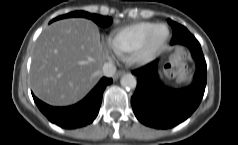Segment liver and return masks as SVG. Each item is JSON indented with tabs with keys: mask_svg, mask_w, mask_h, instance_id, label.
I'll list each match as a JSON object with an SVG mask.
<instances>
[{
	"mask_svg": "<svg viewBox=\"0 0 238 145\" xmlns=\"http://www.w3.org/2000/svg\"><path fill=\"white\" fill-rule=\"evenodd\" d=\"M109 59L97 26L84 18L57 21L39 36L30 70L31 89L42 101L67 106L97 83Z\"/></svg>",
	"mask_w": 238,
	"mask_h": 145,
	"instance_id": "1",
	"label": "liver"
}]
</instances>
